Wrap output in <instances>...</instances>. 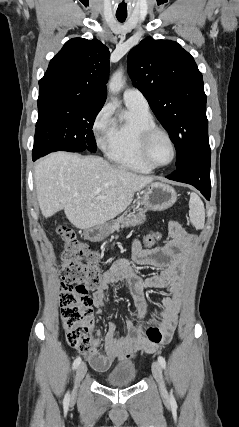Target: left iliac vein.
Returning a JSON list of instances; mask_svg holds the SVG:
<instances>
[{
    "label": "left iliac vein",
    "mask_w": 239,
    "mask_h": 427,
    "mask_svg": "<svg viewBox=\"0 0 239 427\" xmlns=\"http://www.w3.org/2000/svg\"><path fill=\"white\" fill-rule=\"evenodd\" d=\"M152 373L159 385L160 392L163 396H167V390L165 387V383L163 380V374H162V368L161 365L158 362H153L152 364Z\"/></svg>",
    "instance_id": "left-iliac-vein-1"
}]
</instances>
